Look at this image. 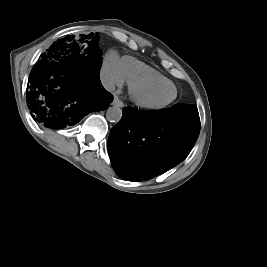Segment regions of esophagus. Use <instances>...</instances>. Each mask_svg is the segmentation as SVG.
Here are the masks:
<instances>
[{
  "instance_id": "34e87169",
  "label": "esophagus",
  "mask_w": 267,
  "mask_h": 267,
  "mask_svg": "<svg viewBox=\"0 0 267 267\" xmlns=\"http://www.w3.org/2000/svg\"><path fill=\"white\" fill-rule=\"evenodd\" d=\"M112 105L117 107H123L124 103L117 96H115Z\"/></svg>"
}]
</instances>
